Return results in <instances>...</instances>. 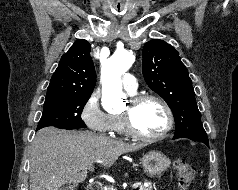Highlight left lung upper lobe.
<instances>
[{"label": "left lung upper lobe", "instance_id": "left-lung-upper-lobe-1", "mask_svg": "<svg viewBox=\"0 0 238 190\" xmlns=\"http://www.w3.org/2000/svg\"><path fill=\"white\" fill-rule=\"evenodd\" d=\"M143 76L148 86L171 108L175 136L208 139L200 119L188 71L174 47L154 39L143 47Z\"/></svg>", "mask_w": 238, "mask_h": 190}]
</instances>
